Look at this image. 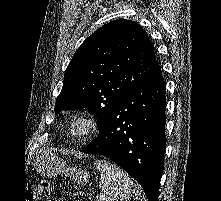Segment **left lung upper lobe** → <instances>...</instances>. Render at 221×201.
<instances>
[{"label": "left lung upper lobe", "instance_id": "obj_1", "mask_svg": "<svg viewBox=\"0 0 221 201\" xmlns=\"http://www.w3.org/2000/svg\"><path fill=\"white\" fill-rule=\"evenodd\" d=\"M158 67L154 46L136 22L111 21L78 48L65 71L55 112L86 108L100 130L121 99Z\"/></svg>", "mask_w": 221, "mask_h": 201}]
</instances>
